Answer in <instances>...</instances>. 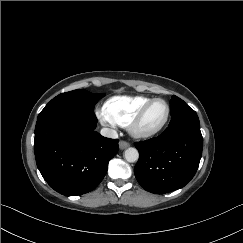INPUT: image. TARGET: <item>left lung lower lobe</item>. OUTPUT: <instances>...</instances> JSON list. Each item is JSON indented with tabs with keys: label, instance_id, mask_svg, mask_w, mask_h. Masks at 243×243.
Instances as JSON below:
<instances>
[{
	"label": "left lung lower lobe",
	"instance_id": "0a47b994",
	"mask_svg": "<svg viewBox=\"0 0 243 243\" xmlns=\"http://www.w3.org/2000/svg\"><path fill=\"white\" fill-rule=\"evenodd\" d=\"M135 147L139 160L134 173L145 190L163 194L180 189L195 175L202 155L198 116L173 120L161 135Z\"/></svg>",
	"mask_w": 243,
	"mask_h": 243
}]
</instances>
